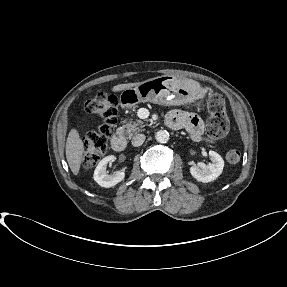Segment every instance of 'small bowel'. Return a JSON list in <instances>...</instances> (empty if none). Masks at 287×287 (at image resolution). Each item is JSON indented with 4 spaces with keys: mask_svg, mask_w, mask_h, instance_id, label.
<instances>
[{
    "mask_svg": "<svg viewBox=\"0 0 287 287\" xmlns=\"http://www.w3.org/2000/svg\"><path fill=\"white\" fill-rule=\"evenodd\" d=\"M166 124L172 129H184L194 140H201L204 133V122L195 113L174 110L167 114Z\"/></svg>",
    "mask_w": 287,
    "mask_h": 287,
    "instance_id": "obj_1",
    "label": "small bowel"
}]
</instances>
